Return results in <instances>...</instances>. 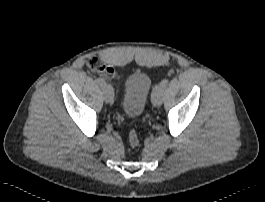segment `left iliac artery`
<instances>
[{"label": "left iliac artery", "instance_id": "1", "mask_svg": "<svg viewBox=\"0 0 265 202\" xmlns=\"http://www.w3.org/2000/svg\"><path fill=\"white\" fill-rule=\"evenodd\" d=\"M168 82H169V79H167V78L163 79L159 85H156L154 87L152 94H155L160 89H165L167 84H168Z\"/></svg>", "mask_w": 265, "mask_h": 202}]
</instances>
